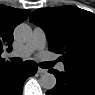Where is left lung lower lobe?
<instances>
[{"label": "left lung lower lobe", "instance_id": "0a47b994", "mask_svg": "<svg viewBox=\"0 0 95 95\" xmlns=\"http://www.w3.org/2000/svg\"><path fill=\"white\" fill-rule=\"evenodd\" d=\"M64 72L50 69L57 79L56 86L47 95H95V73L64 67Z\"/></svg>", "mask_w": 95, "mask_h": 95}]
</instances>
